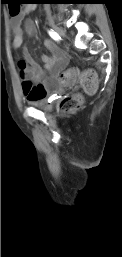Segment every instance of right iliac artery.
Listing matches in <instances>:
<instances>
[{
	"instance_id": "82829eb1",
	"label": "right iliac artery",
	"mask_w": 122,
	"mask_h": 257,
	"mask_svg": "<svg viewBox=\"0 0 122 257\" xmlns=\"http://www.w3.org/2000/svg\"><path fill=\"white\" fill-rule=\"evenodd\" d=\"M48 33L52 39H54L56 41H58L60 39L59 35L56 32H54L53 30H49Z\"/></svg>"
}]
</instances>
